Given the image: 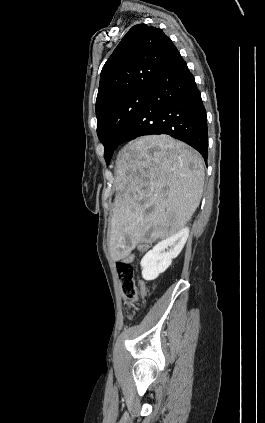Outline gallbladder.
<instances>
[{
  "mask_svg": "<svg viewBox=\"0 0 265 423\" xmlns=\"http://www.w3.org/2000/svg\"><path fill=\"white\" fill-rule=\"evenodd\" d=\"M126 239L129 241V238L128 237H126Z\"/></svg>",
  "mask_w": 265,
  "mask_h": 423,
  "instance_id": "1",
  "label": "gallbladder"
}]
</instances>
